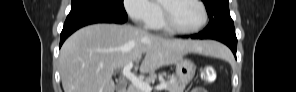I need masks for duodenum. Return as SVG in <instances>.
I'll use <instances>...</instances> for the list:
<instances>
[{
  "label": "duodenum",
  "mask_w": 296,
  "mask_h": 92,
  "mask_svg": "<svg viewBox=\"0 0 296 92\" xmlns=\"http://www.w3.org/2000/svg\"><path fill=\"white\" fill-rule=\"evenodd\" d=\"M130 91H132V89L128 88V89H124L122 92H130Z\"/></svg>",
  "instance_id": "duodenum-1"
}]
</instances>
